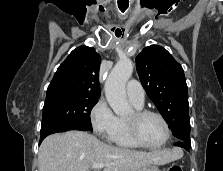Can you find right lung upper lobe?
Here are the masks:
<instances>
[{"label":"right lung upper lobe","instance_id":"cb5924a9","mask_svg":"<svg viewBox=\"0 0 223 171\" xmlns=\"http://www.w3.org/2000/svg\"><path fill=\"white\" fill-rule=\"evenodd\" d=\"M100 55L93 47L74 49L58 67L47 89L46 99L62 95L100 97Z\"/></svg>","mask_w":223,"mask_h":171}]
</instances>
